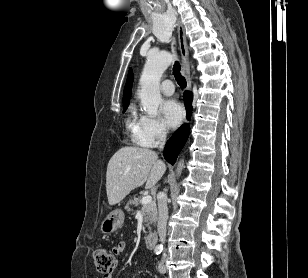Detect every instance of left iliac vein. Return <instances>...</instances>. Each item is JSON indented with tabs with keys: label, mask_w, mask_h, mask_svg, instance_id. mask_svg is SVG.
<instances>
[{
	"label": "left iliac vein",
	"mask_w": 308,
	"mask_h": 278,
	"mask_svg": "<svg viewBox=\"0 0 308 278\" xmlns=\"http://www.w3.org/2000/svg\"><path fill=\"white\" fill-rule=\"evenodd\" d=\"M158 271L162 274L167 272V266L165 262V254L163 255L162 259L160 260L158 264Z\"/></svg>",
	"instance_id": "obj_1"
}]
</instances>
